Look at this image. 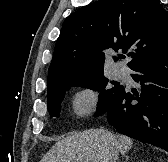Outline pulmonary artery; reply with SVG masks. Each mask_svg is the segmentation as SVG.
<instances>
[{"label": "pulmonary artery", "mask_w": 168, "mask_h": 162, "mask_svg": "<svg viewBox=\"0 0 168 162\" xmlns=\"http://www.w3.org/2000/svg\"><path fill=\"white\" fill-rule=\"evenodd\" d=\"M117 76L120 77V78H125L128 76V73L126 70L124 69H120L118 72H117Z\"/></svg>", "instance_id": "1"}]
</instances>
